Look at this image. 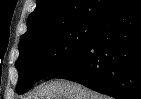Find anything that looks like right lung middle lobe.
I'll return each instance as SVG.
<instances>
[{"label": "right lung middle lobe", "instance_id": "obj_1", "mask_svg": "<svg viewBox=\"0 0 141 99\" xmlns=\"http://www.w3.org/2000/svg\"><path fill=\"white\" fill-rule=\"evenodd\" d=\"M98 21H81L52 30L19 45L17 93L68 64L93 38Z\"/></svg>", "mask_w": 141, "mask_h": 99}]
</instances>
